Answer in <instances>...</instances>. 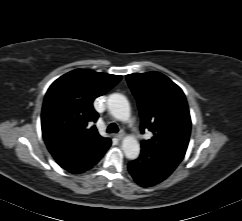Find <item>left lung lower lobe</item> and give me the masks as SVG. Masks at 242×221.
I'll return each instance as SVG.
<instances>
[{"label": "left lung lower lobe", "instance_id": "0a47b994", "mask_svg": "<svg viewBox=\"0 0 242 221\" xmlns=\"http://www.w3.org/2000/svg\"><path fill=\"white\" fill-rule=\"evenodd\" d=\"M178 164L164 154L142 147L139 158L128 164V170L139 185L150 187L165 180Z\"/></svg>", "mask_w": 242, "mask_h": 221}]
</instances>
